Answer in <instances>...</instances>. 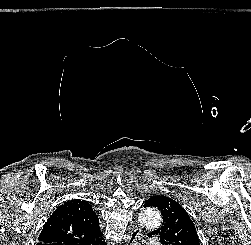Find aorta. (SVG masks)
<instances>
[{
  "mask_svg": "<svg viewBox=\"0 0 251 245\" xmlns=\"http://www.w3.org/2000/svg\"><path fill=\"white\" fill-rule=\"evenodd\" d=\"M140 223L146 228H158L161 224V215L155 209L143 210L140 214Z\"/></svg>",
  "mask_w": 251,
  "mask_h": 245,
  "instance_id": "obj_1",
  "label": "aorta"
}]
</instances>
